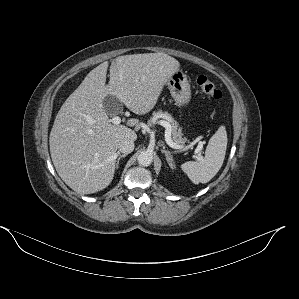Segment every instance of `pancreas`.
Instances as JSON below:
<instances>
[{
	"label": "pancreas",
	"mask_w": 299,
	"mask_h": 299,
	"mask_svg": "<svg viewBox=\"0 0 299 299\" xmlns=\"http://www.w3.org/2000/svg\"><path fill=\"white\" fill-rule=\"evenodd\" d=\"M158 118H164L168 121V123L171 126L172 138L176 144L185 142L186 139L182 137L181 128H178V123L174 120V118L170 114L162 111L154 112L153 117L150 119V122L153 123Z\"/></svg>",
	"instance_id": "pancreas-1"
}]
</instances>
